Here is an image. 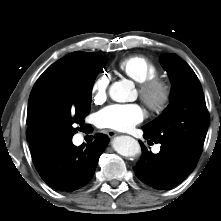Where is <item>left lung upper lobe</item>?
Masks as SVG:
<instances>
[{"label": "left lung upper lobe", "instance_id": "obj_1", "mask_svg": "<svg viewBox=\"0 0 221 221\" xmlns=\"http://www.w3.org/2000/svg\"><path fill=\"white\" fill-rule=\"evenodd\" d=\"M161 63L172 82L170 104L143 128L155 143H169L200 156L209 115L200 82L191 67L176 54H164Z\"/></svg>", "mask_w": 221, "mask_h": 221}]
</instances>
